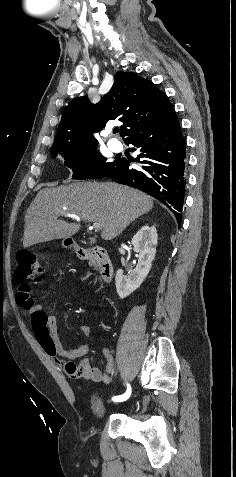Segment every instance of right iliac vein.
I'll list each match as a JSON object with an SVG mask.
<instances>
[{
	"mask_svg": "<svg viewBox=\"0 0 236 477\" xmlns=\"http://www.w3.org/2000/svg\"><path fill=\"white\" fill-rule=\"evenodd\" d=\"M117 391L120 392L121 390L118 389ZM114 394L117 395L118 393L115 392ZM110 400H111V399H109V402H110ZM119 406H120V405H118V404H117V405L111 404V403L108 404V407H109V408H112V407H113L114 409H117Z\"/></svg>",
	"mask_w": 236,
	"mask_h": 477,
	"instance_id": "obj_1",
	"label": "right iliac vein"
}]
</instances>
